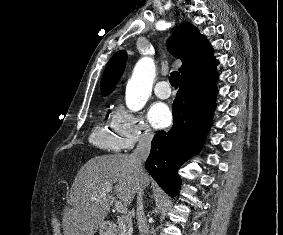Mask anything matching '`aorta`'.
<instances>
[{
    "mask_svg": "<svg viewBox=\"0 0 283 235\" xmlns=\"http://www.w3.org/2000/svg\"><path fill=\"white\" fill-rule=\"evenodd\" d=\"M155 63L149 57L141 58L126 87V105L131 111H139L146 104L155 77Z\"/></svg>",
    "mask_w": 283,
    "mask_h": 235,
    "instance_id": "aorta-1",
    "label": "aorta"
}]
</instances>
